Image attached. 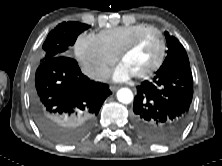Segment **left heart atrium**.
Returning <instances> with one entry per match:
<instances>
[{
  "instance_id": "obj_1",
  "label": "left heart atrium",
  "mask_w": 222,
  "mask_h": 166,
  "mask_svg": "<svg viewBox=\"0 0 222 166\" xmlns=\"http://www.w3.org/2000/svg\"><path fill=\"white\" fill-rule=\"evenodd\" d=\"M134 75L123 63L119 64L113 71L115 81H125Z\"/></svg>"
}]
</instances>
